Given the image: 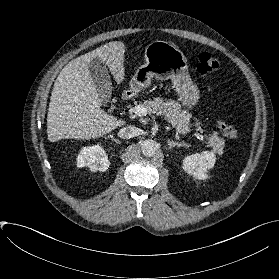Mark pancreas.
<instances>
[{
  "mask_svg": "<svg viewBox=\"0 0 279 279\" xmlns=\"http://www.w3.org/2000/svg\"><path fill=\"white\" fill-rule=\"evenodd\" d=\"M143 107L148 110V114H156L164 116V118L171 123L172 127L177 130L178 133L185 134L190 129V118L192 115L182 110L180 104L172 99L163 100V98L157 97L153 100H146L141 103ZM199 128V124H195ZM208 145L213 147L215 151L221 153L224 148V140L218 137L217 132H213L208 138Z\"/></svg>",
  "mask_w": 279,
  "mask_h": 279,
  "instance_id": "cf45deb5",
  "label": "pancreas"
}]
</instances>
